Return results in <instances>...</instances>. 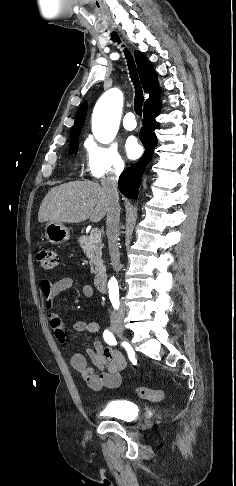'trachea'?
<instances>
[{
	"label": "trachea",
	"instance_id": "3493384b",
	"mask_svg": "<svg viewBox=\"0 0 236 486\" xmlns=\"http://www.w3.org/2000/svg\"><path fill=\"white\" fill-rule=\"evenodd\" d=\"M111 39L114 40L115 42L119 41V36L117 35L116 32L112 33ZM125 56L128 62L129 74L135 86L134 110L137 115L142 116V106H143L144 97H143L142 87L139 82V77L137 74L135 62L133 60L132 55L127 49H125Z\"/></svg>",
	"mask_w": 236,
	"mask_h": 486
}]
</instances>
